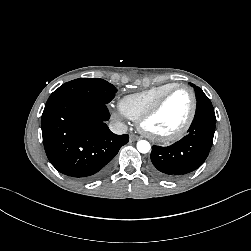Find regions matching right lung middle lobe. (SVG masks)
Wrapping results in <instances>:
<instances>
[{"label":"right lung middle lobe","mask_w":251,"mask_h":251,"mask_svg":"<svg viewBox=\"0 0 251 251\" xmlns=\"http://www.w3.org/2000/svg\"><path fill=\"white\" fill-rule=\"evenodd\" d=\"M116 88L99 78H79L61 85L49 97L47 103L60 98L77 97L96 100L108 104L116 93Z\"/></svg>","instance_id":"obj_1"}]
</instances>
